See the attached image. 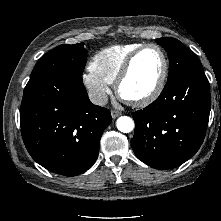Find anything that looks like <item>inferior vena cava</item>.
<instances>
[{
  "instance_id": "1",
  "label": "inferior vena cava",
  "mask_w": 221,
  "mask_h": 221,
  "mask_svg": "<svg viewBox=\"0 0 221 221\" xmlns=\"http://www.w3.org/2000/svg\"><path fill=\"white\" fill-rule=\"evenodd\" d=\"M90 101L99 106H104L108 102V96L105 92L99 90L89 91L88 93Z\"/></svg>"
}]
</instances>
